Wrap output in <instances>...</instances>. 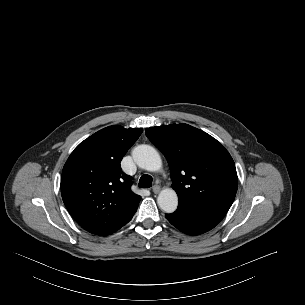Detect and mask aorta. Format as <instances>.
Returning <instances> with one entry per match:
<instances>
[{"label":"aorta","mask_w":305,"mask_h":305,"mask_svg":"<svg viewBox=\"0 0 305 305\" xmlns=\"http://www.w3.org/2000/svg\"><path fill=\"white\" fill-rule=\"evenodd\" d=\"M133 158L136 164L147 171H158L162 166L159 153L150 145H139L133 150ZM160 209L166 213H173L178 206V196L171 188L163 189L157 198Z\"/></svg>","instance_id":"1"}]
</instances>
